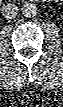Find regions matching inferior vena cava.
<instances>
[{
	"mask_svg": "<svg viewBox=\"0 0 63 107\" xmlns=\"http://www.w3.org/2000/svg\"><path fill=\"white\" fill-rule=\"evenodd\" d=\"M18 7L15 4H6L2 7V15L7 19H12L17 16Z\"/></svg>",
	"mask_w": 63,
	"mask_h": 107,
	"instance_id": "602c4592",
	"label": "inferior vena cava"
}]
</instances>
